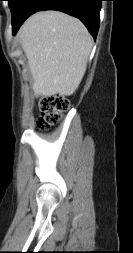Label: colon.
Wrapping results in <instances>:
<instances>
[{
    "label": "colon",
    "instance_id": "1",
    "mask_svg": "<svg viewBox=\"0 0 133 253\" xmlns=\"http://www.w3.org/2000/svg\"><path fill=\"white\" fill-rule=\"evenodd\" d=\"M39 107L41 115L37 126L45 130L61 121L63 113L68 108V102L58 95H44L39 97Z\"/></svg>",
    "mask_w": 133,
    "mask_h": 253
}]
</instances>
